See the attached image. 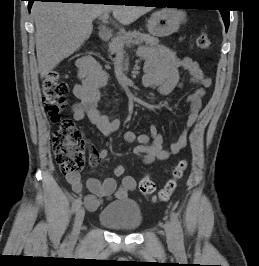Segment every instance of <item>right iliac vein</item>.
<instances>
[{
  "mask_svg": "<svg viewBox=\"0 0 259 266\" xmlns=\"http://www.w3.org/2000/svg\"><path fill=\"white\" fill-rule=\"evenodd\" d=\"M84 216H85V210L84 208H79L76 215H75V220H74V226H73V230L71 233V242H76L79 234H80V229H81V225L83 223L84 220Z\"/></svg>",
  "mask_w": 259,
  "mask_h": 266,
  "instance_id": "63e3f726",
  "label": "right iliac vein"
}]
</instances>
